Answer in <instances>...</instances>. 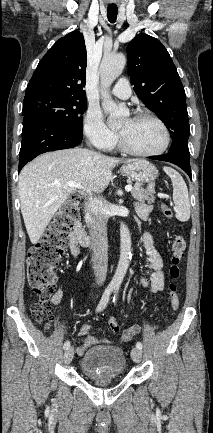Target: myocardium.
Listing matches in <instances>:
<instances>
[{
    "label": "myocardium",
    "instance_id": "1",
    "mask_svg": "<svg viewBox=\"0 0 213 433\" xmlns=\"http://www.w3.org/2000/svg\"><path fill=\"white\" fill-rule=\"evenodd\" d=\"M131 119L133 120H142V119H148L151 120L153 122H155L163 131L164 134V143L161 146V148H159L156 151H151V152H142V151H138L135 150L134 148H132L123 138V136L118 133V141H119V145L121 147V149L133 156H138V157H154V156H159L161 154H163L169 147L170 142H171V135H170V131L167 127V125L164 123V121L162 119H160L158 116L150 113V112H138L136 114H134Z\"/></svg>",
    "mask_w": 213,
    "mask_h": 433
}]
</instances>
